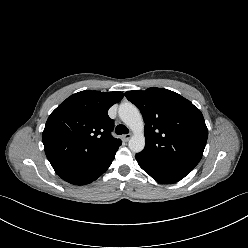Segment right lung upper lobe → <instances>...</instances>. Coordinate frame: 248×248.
<instances>
[{
  "mask_svg": "<svg viewBox=\"0 0 248 248\" xmlns=\"http://www.w3.org/2000/svg\"><path fill=\"white\" fill-rule=\"evenodd\" d=\"M122 92L85 90L75 93L49 116L43 134L46 156L54 161H88L121 145L112 137L109 108Z\"/></svg>",
  "mask_w": 248,
  "mask_h": 248,
  "instance_id": "1",
  "label": "right lung upper lobe"
}]
</instances>
